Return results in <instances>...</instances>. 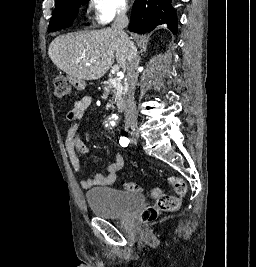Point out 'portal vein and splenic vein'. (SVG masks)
<instances>
[{
    "label": "portal vein and splenic vein",
    "instance_id": "portal-vein-and-splenic-vein-1",
    "mask_svg": "<svg viewBox=\"0 0 256 267\" xmlns=\"http://www.w3.org/2000/svg\"><path fill=\"white\" fill-rule=\"evenodd\" d=\"M119 70H120L119 66H113L111 72L112 74H115V72H117V76H118Z\"/></svg>",
    "mask_w": 256,
    "mask_h": 267
}]
</instances>
